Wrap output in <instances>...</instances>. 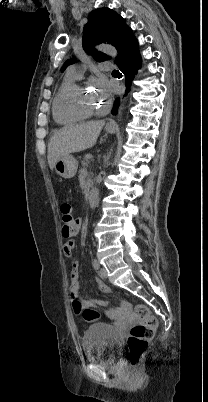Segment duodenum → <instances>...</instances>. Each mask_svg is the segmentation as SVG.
Instances as JSON below:
<instances>
[{"mask_svg":"<svg viewBox=\"0 0 208 402\" xmlns=\"http://www.w3.org/2000/svg\"><path fill=\"white\" fill-rule=\"evenodd\" d=\"M98 192L96 189H92L88 195V204L91 208L95 207L97 204Z\"/></svg>","mask_w":208,"mask_h":402,"instance_id":"410a0bca","label":"duodenum"}]
</instances>
